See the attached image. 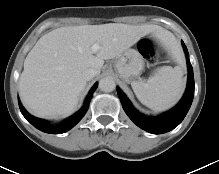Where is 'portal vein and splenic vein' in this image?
Instances as JSON below:
<instances>
[{
  "mask_svg": "<svg viewBox=\"0 0 219 174\" xmlns=\"http://www.w3.org/2000/svg\"><path fill=\"white\" fill-rule=\"evenodd\" d=\"M98 49H99V45H98V44H94V45L92 46V50H93L94 52H96Z\"/></svg>",
  "mask_w": 219,
  "mask_h": 174,
  "instance_id": "18ae733b",
  "label": "portal vein and splenic vein"
}]
</instances>
